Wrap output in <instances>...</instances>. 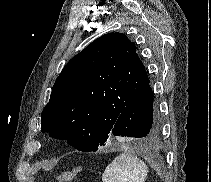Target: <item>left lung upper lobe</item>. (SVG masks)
Masks as SVG:
<instances>
[{"label": "left lung upper lobe", "mask_w": 211, "mask_h": 182, "mask_svg": "<svg viewBox=\"0 0 211 182\" xmlns=\"http://www.w3.org/2000/svg\"><path fill=\"white\" fill-rule=\"evenodd\" d=\"M147 81L135 44L122 33L105 34L75 55L57 77L41 113V131L78 150L97 151Z\"/></svg>", "instance_id": "1"}]
</instances>
